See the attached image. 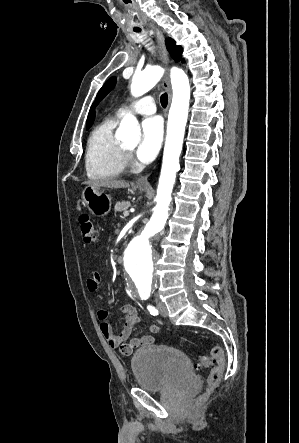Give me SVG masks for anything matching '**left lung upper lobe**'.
I'll return each mask as SVG.
<instances>
[{
	"mask_svg": "<svg viewBox=\"0 0 299 443\" xmlns=\"http://www.w3.org/2000/svg\"><path fill=\"white\" fill-rule=\"evenodd\" d=\"M165 42H166L167 49H168V51L171 54V57L176 62L181 61L182 60V51H183L181 46H177L176 42L173 39H171V38H167ZM115 83H116V78L115 77H111L103 85V87L98 92L97 103H98L99 100L104 98L114 88Z\"/></svg>",
	"mask_w": 299,
	"mask_h": 443,
	"instance_id": "5c2ea615",
	"label": "left lung upper lobe"
}]
</instances>
